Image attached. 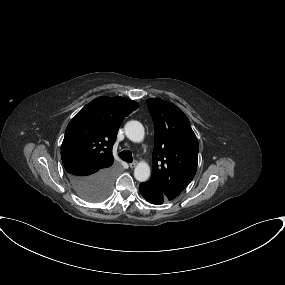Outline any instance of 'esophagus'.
Here are the masks:
<instances>
[{
  "mask_svg": "<svg viewBox=\"0 0 285 285\" xmlns=\"http://www.w3.org/2000/svg\"><path fill=\"white\" fill-rule=\"evenodd\" d=\"M137 165L136 161L129 163L130 168H134Z\"/></svg>",
  "mask_w": 285,
  "mask_h": 285,
  "instance_id": "34e87169",
  "label": "esophagus"
}]
</instances>
